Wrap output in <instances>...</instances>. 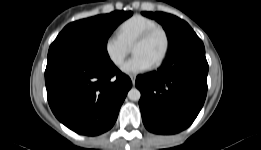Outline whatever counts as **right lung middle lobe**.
Wrapping results in <instances>:
<instances>
[{"label":"right lung middle lobe","mask_w":261,"mask_h":150,"mask_svg":"<svg viewBox=\"0 0 261 150\" xmlns=\"http://www.w3.org/2000/svg\"><path fill=\"white\" fill-rule=\"evenodd\" d=\"M132 15L131 11H114L68 24L51 44L48 61L74 59L85 62L110 60L107 41L113 30Z\"/></svg>","instance_id":"dd1d6c3e"}]
</instances>
